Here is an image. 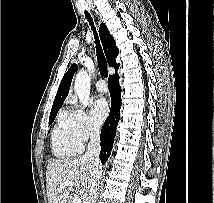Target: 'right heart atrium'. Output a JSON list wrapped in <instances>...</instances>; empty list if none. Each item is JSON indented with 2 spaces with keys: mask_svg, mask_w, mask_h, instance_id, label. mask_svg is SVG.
<instances>
[{
  "mask_svg": "<svg viewBox=\"0 0 214 203\" xmlns=\"http://www.w3.org/2000/svg\"><path fill=\"white\" fill-rule=\"evenodd\" d=\"M61 120L74 140L81 146L99 133L98 125L81 109L70 108L63 111Z\"/></svg>",
  "mask_w": 214,
  "mask_h": 203,
  "instance_id": "obj_1",
  "label": "right heart atrium"
}]
</instances>
